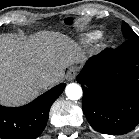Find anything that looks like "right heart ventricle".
I'll return each instance as SVG.
<instances>
[{"label":"right heart ventricle","instance_id":"obj_1","mask_svg":"<svg viewBox=\"0 0 139 139\" xmlns=\"http://www.w3.org/2000/svg\"><path fill=\"white\" fill-rule=\"evenodd\" d=\"M101 36V32L100 31H94L91 33H88L85 37L87 42H95L96 40H98Z\"/></svg>","mask_w":139,"mask_h":139}]
</instances>
